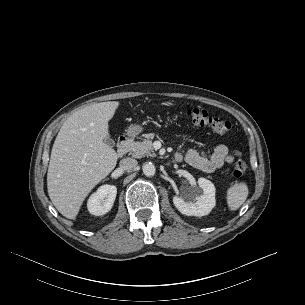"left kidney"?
<instances>
[{"label":"left kidney","mask_w":305,"mask_h":305,"mask_svg":"<svg viewBox=\"0 0 305 305\" xmlns=\"http://www.w3.org/2000/svg\"><path fill=\"white\" fill-rule=\"evenodd\" d=\"M197 184L202 189V194L195 196L194 201L178 196L173 197L175 207L186 216L208 215L215 206L214 184L205 178H199Z\"/></svg>","instance_id":"5707ae66"}]
</instances>
